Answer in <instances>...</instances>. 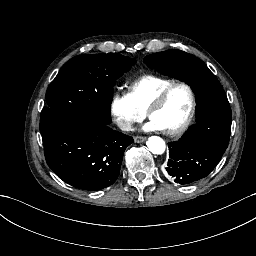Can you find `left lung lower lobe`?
Here are the masks:
<instances>
[{
    "label": "left lung lower lobe",
    "mask_w": 256,
    "mask_h": 256,
    "mask_svg": "<svg viewBox=\"0 0 256 256\" xmlns=\"http://www.w3.org/2000/svg\"><path fill=\"white\" fill-rule=\"evenodd\" d=\"M175 178V182L180 184H190L192 182L198 181L206 176H191V175H175L173 173H168Z\"/></svg>",
    "instance_id": "1"
}]
</instances>
